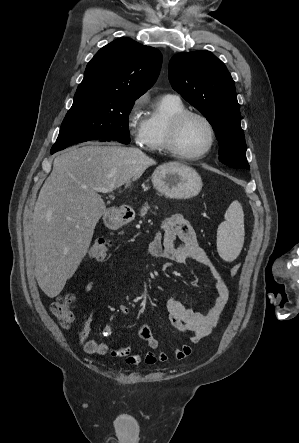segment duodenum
Returning <instances> with one entry per match:
<instances>
[{
    "label": "duodenum",
    "mask_w": 299,
    "mask_h": 443,
    "mask_svg": "<svg viewBox=\"0 0 299 443\" xmlns=\"http://www.w3.org/2000/svg\"><path fill=\"white\" fill-rule=\"evenodd\" d=\"M130 213L127 209L118 208L113 213V220L111 222L112 225H117L124 223L130 219Z\"/></svg>",
    "instance_id": "obj_1"
}]
</instances>
